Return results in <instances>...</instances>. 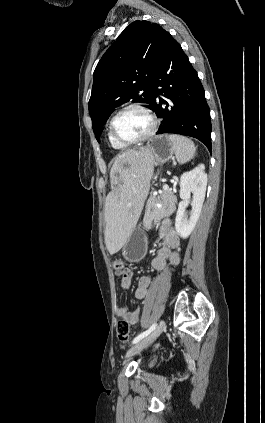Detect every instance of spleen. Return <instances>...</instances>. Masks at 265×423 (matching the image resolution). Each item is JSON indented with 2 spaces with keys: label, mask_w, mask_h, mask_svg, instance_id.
<instances>
[{
  "label": "spleen",
  "mask_w": 265,
  "mask_h": 423,
  "mask_svg": "<svg viewBox=\"0 0 265 423\" xmlns=\"http://www.w3.org/2000/svg\"><path fill=\"white\" fill-rule=\"evenodd\" d=\"M169 139L172 142L176 159L180 164L190 161L195 156L196 147L190 139L174 134H171Z\"/></svg>",
  "instance_id": "3e777b00"
}]
</instances>
